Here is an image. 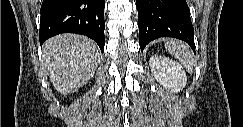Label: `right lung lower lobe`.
Returning a JSON list of instances; mask_svg holds the SVG:
<instances>
[{
    "mask_svg": "<svg viewBox=\"0 0 243 127\" xmlns=\"http://www.w3.org/2000/svg\"><path fill=\"white\" fill-rule=\"evenodd\" d=\"M104 0H43L39 30L40 44L61 33L90 37L104 52Z\"/></svg>",
    "mask_w": 243,
    "mask_h": 127,
    "instance_id": "right-lung-lower-lobe-1",
    "label": "right lung lower lobe"
}]
</instances>
